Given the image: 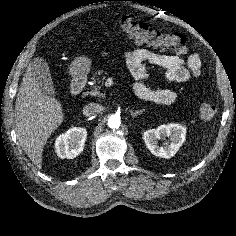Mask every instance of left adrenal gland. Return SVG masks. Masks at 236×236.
<instances>
[{
  "instance_id": "a2214340",
  "label": "left adrenal gland",
  "mask_w": 236,
  "mask_h": 236,
  "mask_svg": "<svg viewBox=\"0 0 236 236\" xmlns=\"http://www.w3.org/2000/svg\"><path fill=\"white\" fill-rule=\"evenodd\" d=\"M144 111H145L144 109L138 110V111H135V112L130 111V115H131L132 117H136V116L142 114Z\"/></svg>"
}]
</instances>
